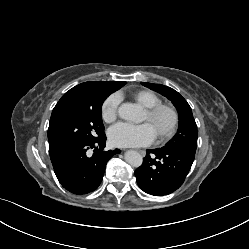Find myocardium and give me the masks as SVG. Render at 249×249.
Returning <instances> with one entry per match:
<instances>
[{"label":"myocardium","mask_w":249,"mask_h":249,"mask_svg":"<svg viewBox=\"0 0 249 249\" xmlns=\"http://www.w3.org/2000/svg\"><path fill=\"white\" fill-rule=\"evenodd\" d=\"M145 112L149 121L155 120L161 113H167L169 115V124L164 130L157 134V137L160 140H167L175 134L179 125V113L174 106L166 103H159L146 108Z\"/></svg>","instance_id":"obj_1"}]
</instances>
